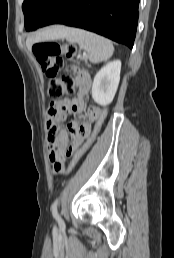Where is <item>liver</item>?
I'll use <instances>...</instances> for the list:
<instances>
[{"mask_svg":"<svg viewBox=\"0 0 174 258\" xmlns=\"http://www.w3.org/2000/svg\"><path fill=\"white\" fill-rule=\"evenodd\" d=\"M63 27H52L39 32L35 37L28 39L27 43L31 45L33 42L56 39L61 37Z\"/></svg>","mask_w":174,"mask_h":258,"instance_id":"6515ba94","label":"liver"}]
</instances>
